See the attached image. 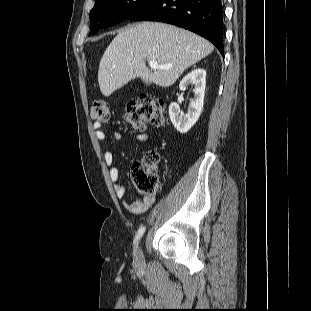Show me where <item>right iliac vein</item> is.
<instances>
[{
	"label": "right iliac vein",
	"mask_w": 311,
	"mask_h": 311,
	"mask_svg": "<svg viewBox=\"0 0 311 311\" xmlns=\"http://www.w3.org/2000/svg\"><path fill=\"white\" fill-rule=\"evenodd\" d=\"M143 254L141 248H137L135 251V264L140 266L142 264Z\"/></svg>",
	"instance_id": "right-iliac-vein-1"
}]
</instances>
